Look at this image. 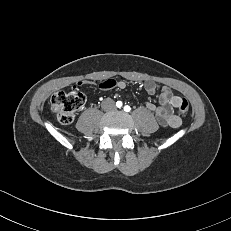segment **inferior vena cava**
Segmentation results:
<instances>
[{"label":"inferior vena cava","mask_w":231,"mask_h":231,"mask_svg":"<svg viewBox=\"0 0 231 231\" xmlns=\"http://www.w3.org/2000/svg\"><path fill=\"white\" fill-rule=\"evenodd\" d=\"M103 108L107 109V108H113L114 107V101L111 99H106L103 104H102Z\"/></svg>","instance_id":"inferior-vena-cava-1"}]
</instances>
